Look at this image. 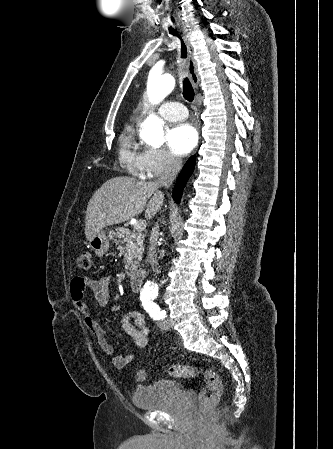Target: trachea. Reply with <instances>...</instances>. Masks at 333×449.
Listing matches in <instances>:
<instances>
[{
	"label": "trachea",
	"instance_id": "trachea-1",
	"mask_svg": "<svg viewBox=\"0 0 333 449\" xmlns=\"http://www.w3.org/2000/svg\"><path fill=\"white\" fill-rule=\"evenodd\" d=\"M169 33L173 36L180 38L177 31L173 28H169ZM180 40H181V58L184 59L187 57V48L183 40L181 38ZM183 96L189 102H192L194 99V90L191 82L187 77L183 79Z\"/></svg>",
	"mask_w": 333,
	"mask_h": 449
}]
</instances>
